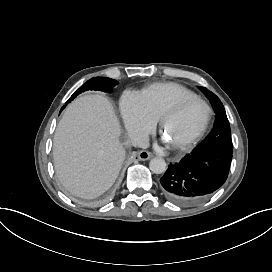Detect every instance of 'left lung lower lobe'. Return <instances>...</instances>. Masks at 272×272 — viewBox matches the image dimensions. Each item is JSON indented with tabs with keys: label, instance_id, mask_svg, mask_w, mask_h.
<instances>
[{
	"label": "left lung lower lobe",
	"instance_id": "obj_1",
	"mask_svg": "<svg viewBox=\"0 0 272 272\" xmlns=\"http://www.w3.org/2000/svg\"><path fill=\"white\" fill-rule=\"evenodd\" d=\"M231 159L232 153L223 150L194 151L170 165L160 179L161 191L176 204L197 203L224 184Z\"/></svg>",
	"mask_w": 272,
	"mask_h": 272
}]
</instances>
